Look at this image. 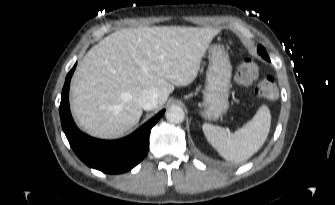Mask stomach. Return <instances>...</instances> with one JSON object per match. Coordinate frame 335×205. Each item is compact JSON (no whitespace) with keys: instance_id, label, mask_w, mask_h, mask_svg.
I'll return each instance as SVG.
<instances>
[{"instance_id":"stomach-1","label":"stomach","mask_w":335,"mask_h":205,"mask_svg":"<svg viewBox=\"0 0 335 205\" xmlns=\"http://www.w3.org/2000/svg\"><path fill=\"white\" fill-rule=\"evenodd\" d=\"M209 65L203 93L204 107L201 115L210 120L218 119L229 107V88L232 66L223 45L208 47Z\"/></svg>"}]
</instances>
